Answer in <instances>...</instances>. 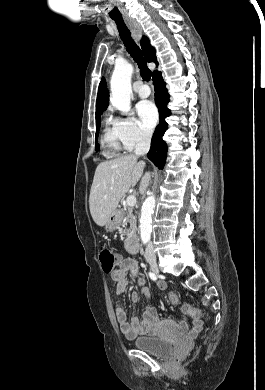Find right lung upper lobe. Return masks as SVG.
<instances>
[{
  "label": "right lung upper lobe",
  "mask_w": 265,
  "mask_h": 390,
  "mask_svg": "<svg viewBox=\"0 0 265 390\" xmlns=\"http://www.w3.org/2000/svg\"><path fill=\"white\" fill-rule=\"evenodd\" d=\"M141 48L146 60L148 62H154L156 65H158L155 49L150 45L148 38L145 36H143L141 40ZM156 73L157 71H154L153 75ZM108 105H109V92L107 89L106 81L104 78H102L99 84L97 101H96V108H97L96 119L100 118V115L108 107Z\"/></svg>",
  "instance_id": "obj_1"
}]
</instances>
